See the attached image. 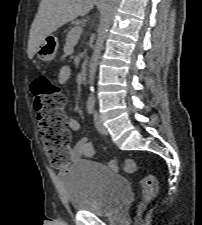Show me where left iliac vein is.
Segmentation results:
<instances>
[{
    "label": "left iliac vein",
    "mask_w": 202,
    "mask_h": 225,
    "mask_svg": "<svg viewBox=\"0 0 202 225\" xmlns=\"http://www.w3.org/2000/svg\"><path fill=\"white\" fill-rule=\"evenodd\" d=\"M94 123H95L97 130L101 134H104V135L108 134L107 128L104 126V124L101 120V117L97 112L94 113Z\"/></svg>",
    "instance_id": "obj_1"
}]
</instances>
